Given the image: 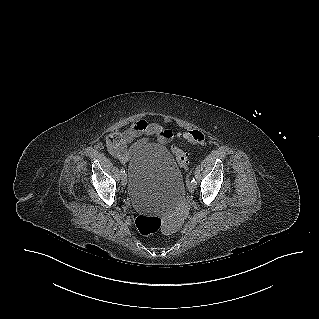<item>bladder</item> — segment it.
Returning a JSON list of instances; mask_svg holds the SVG:
<instances>
[{
  "label": "bladder",
  "instance_id": "1",
  "mask_svg": "<svg viewBox=\"0 0 319 319\" xmlns=\"http://www.w3.org/2000/svg\"><path fill=\"white\" fill-rule=\"evenodd\" d=\"M128 196L142 212L170 211L183 194V175L169 150L161 144H146L129 160Z\"/></svg>",
  "mask_w": 319,
  "mask_h": 319
}]
</instances>
